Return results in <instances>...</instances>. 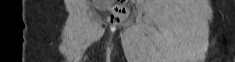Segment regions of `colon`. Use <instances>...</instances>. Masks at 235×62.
Masks as SVG:
<instances>
[{"mask_svg": "<svg viewBox=\"0 0 235 62\" xmlns=\"http://www.w3.org/2000/svg\"><path fill=\"white\" fill-rule=\"evenodd\" d=\"M128 16L125 0H112L109 8V21L113 24L122 22Z\"/></svg>", "mask_w": 235, "mask_h": 62, "instance_id": "5ec220e1", "label": "colon"}]
</instances>
